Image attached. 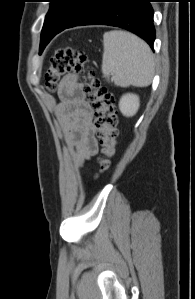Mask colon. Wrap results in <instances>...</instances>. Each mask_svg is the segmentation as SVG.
<instances>
[{
    "label": "colon",
    "mask_w": 195,
    "mask_h": 299,
    "mask_svg": "<svg viewBox=\"0 0 195 299\" xmlns=\"http://www.w3.org/2000/svg\"><path fill=\"white\" fill-rule=\"evenodd\" d=\"M70 72L81 75L87 100L95 109L97 135L102 147V157L98 164L100 170H105L117 146L118 114L115 97L100 84L94 70L88 66L86 53L72 48L59 50L51 58L45 75L46 88L55 91L58 83Z\"/></svg>",
    "instance_id": "1"
}]
</instances>
